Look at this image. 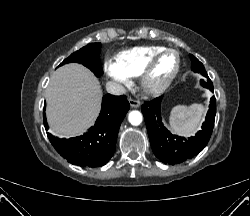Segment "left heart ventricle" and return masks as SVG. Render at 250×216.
I'll list each match as a JSON object with an SVG mask.
<instances>
[{"instance_id":"left-heart-ventricle-1","label":"left heart ventricle","mask_w":250,"mask_h":216,"mask_svg":"<svg viewBox=\"0 0 250 216\" xmlns=\"http://www.w3.org/2000/svg\"><path fill=\"white\" fill-rule=\"evenodd\" d=\"M176 64L177 57L175 54L167 53L161 56L149 77V85L152 87L162 85L173 73Z\"/></svg>"}]
</instances>
